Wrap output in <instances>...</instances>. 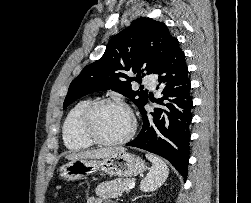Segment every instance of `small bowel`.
I'll use <instances>...</instances> for the list:
<instances>
[{
	"mask_svg": "<svg viewBox=\"0 0 251 203\" xmlns=\"http://www.w3.org/2000/svg\"><path fill=\"white\" fill-rule=\"evenodd\" d=\"M86 203H114V202L104 201L99 197H89Z\"/></svg>",
	"mask_w": 251,
	"mask_h": 203,
	"instance_id": "c3829d8e",
	"label": "small bowel"
}]
</instances>
